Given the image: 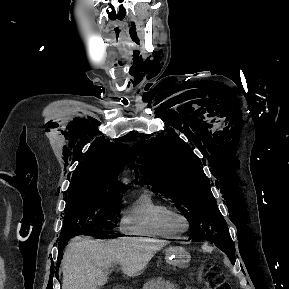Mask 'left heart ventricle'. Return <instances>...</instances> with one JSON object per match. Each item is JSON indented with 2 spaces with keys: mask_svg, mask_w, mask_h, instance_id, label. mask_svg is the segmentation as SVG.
<instances>
[{
  "mask_svg": "<svg viewBox=\"0 0 289 289\" xmlns=\"http://www.w3.org/2000/svg\"><path fill=\"white\" fill-rule=\"evenodd\" d=\"M172 223L176 229H183L185 226L183 220H181L180 218H174Z\"/></svg>",
  "mask_w": 289,
  "mask_h": 289,
  "instance_id": "obj_1",
  "label": "left heart ventricle"
}]
</instances>
